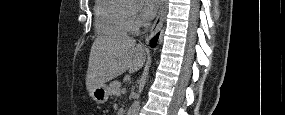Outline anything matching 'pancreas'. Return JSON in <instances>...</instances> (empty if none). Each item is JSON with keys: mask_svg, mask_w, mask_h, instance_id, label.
I'll list each match as a JSON object with an SVG mask.
<instances>
[{"mask_svg": "<svg viewBox=\"0 0 285 115\" xmlns=\"http://www.w3.org/2000/svg\"><path fill=\"white\" fill-rule=\"evenodd\" d=\"M120 86H121V83L118 80L111 82L110 87H109V94L118 96L120 93Z\"/></svg>", "mask_w": 285, "mask_h": 115, "instance_id": "1", "label": "pancreas"}]
</instances>
